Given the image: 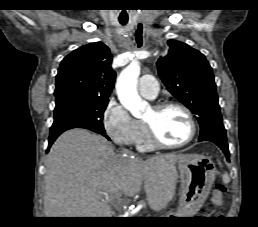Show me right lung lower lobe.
<instances>
[{
    "label": "right lung lower lobe",
    "instance_id": "right-lung-lower-lobe-1",
    "mask_svg": "<svg viewBox=\"0 0 258 227\" xmlns=\"http://www.w3.org/2000/svg\"><path fill=\"white\" fill-rule=\"evenodd\" d=\"M75 128L71 125L68 124H62V123H53L51 129H50V136H49V144H48V148L47 151L50 149L51 145L53 144V142L56 140V138L63 133L66 130ZM103 136H105L106 138H108V136L104 134H101ZM109 139V138H108Z\"/></svg>",
    "mask_w": 258,
    "mask_h": 227
}]
</instances>
